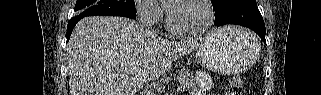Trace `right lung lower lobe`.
<instances>
[{
  "instance_id": "98d812e1",
  "label": "right lung lower lobe",
  "mask_w": 321,
  "mask_h": 95,
  "mask_svg": "<svg viewBox=\"0 0 321 95\" xmlns=\"http://www.w3.org/2000/svg\"><path fill=\"white\" fill-rule=\"evenodd\" d=\"M82 18L80 17H73L72 19H70L68 25H67V41L70 38V35L72 33L73 28L75 27L76 23Z\"/></svg>"
}]
</instances>
